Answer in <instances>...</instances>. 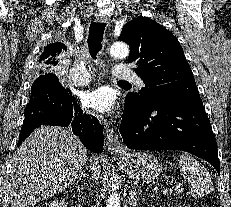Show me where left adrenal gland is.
<instances>
[{"label": "left adrenal gland", "instance_id": "a2214340", "mask_svg": "<svg viewBox=\"0 0 231 207\" xmlns=\"http://www.w3.org/2000/svg\"><path fill=\"white\" fill-rule=\"evenodd\" d=\"M137 201H138L137 191L135 188H133V191L130 192V198H129L130 206H133V207L136 206Z\"/></svg>", "mask_w": 231, "mask_h": 207}]
</instances>
